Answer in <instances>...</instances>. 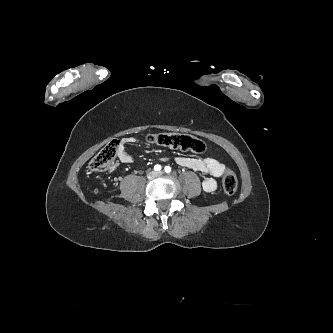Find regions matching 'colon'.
I'll return each instance as SVG.
<instances>
[{
	"label": "colon",
	"instance_id": "5ec220e1",
	"mask_svg": "<svg viewBox=\"0 0 333 333\" xmlns=\"http://www.w3.org/2000/svg\"><path fill=\"white\" fill-rule=\"evenodd\" d=\"M146 139L151 144L194 154H204L207 152L206 143L189 134L164 132L148 135ZM118 149L119 143L111 141L90 161L89 168L96 172L112 169L115 166ZM222 186L225 194L228 196H232L237 191V176L235 171L230 167H225Z\"/></svg>",
	"mask_w": 333,
	"mask_h": 333
}]
</instances>
